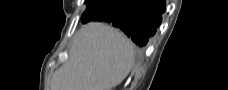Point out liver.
I'll use <instances>...</instances> for the list:
<instances>
[{
	"mask_svg": "<svg viewBox=\"0 0 228 90\" xmlns=\"http://www.w3.org/2000/svg\"><path fill=\"white\" fill-rule=\"evenodd\" d=\"M133 45L118 30L89 23L74 37L68 60L55 71L51 90H111L129 74Z\"/></svg>",
	"mask_w": 228,
	"mask_h": 90,
	"instance_id": "6515ba94",
	"label": "liver"
}]
</instances>
